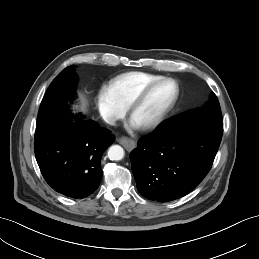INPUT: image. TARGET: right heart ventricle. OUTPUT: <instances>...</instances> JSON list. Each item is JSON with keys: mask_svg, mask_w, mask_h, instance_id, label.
Returning <instances> with one entry per match:
<instances>
[{"mask_svg": "<svg viewBox=\"0 0 259 259\" xmlns=\"http://www.w3.org/2000/svg\"><path fill=\"white\" fill-rule=\"evenodd\" d=\"M162 76L152 73L132 71L111 79L105 90L122 108L126 109L131 99L147 84Z\"/></svg>", "mask_w": 259, "mask_h": 259, "instance_id": "obj_1", "label": "right heart ventricle"}]
</instances>
